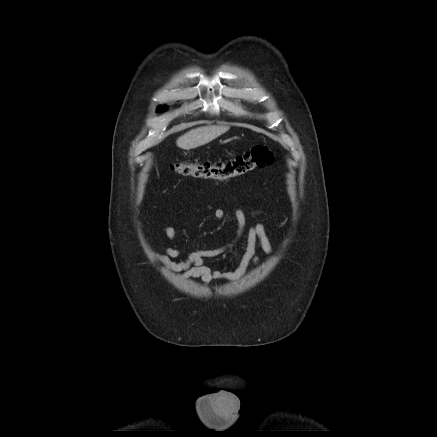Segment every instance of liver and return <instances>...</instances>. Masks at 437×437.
Instances as JSON below:
<instances>
[{
    "instance_id": "1",
    "label": "liver",
    "mask_w": 437,
    "mask_h": 437,
    "mask_svg": "<svg viewBox=\"0 0 437 437\" xmlns=\"http://www.w3.org/2000/svg\"><path fill=\"white\" fill-rule=\"evenodd\" d=\"M229 130L228 126H202L180 136L176 144L179 148L190 150L205 145Z\"/></svg>"
}]
</instances>
